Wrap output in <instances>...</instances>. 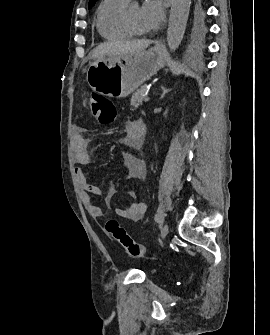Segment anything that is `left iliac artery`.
<instances>
[{
  "instance_id": "44dca946",
  "label": "left iliac artery",
  "mask_w": 270,
  "mask_h": 335,
  "mask_svg": "<svg viewBox=\"0 0 270 335\" xmlns=\"http://www.w3.org/2000/svg\"><path fill=\"white\" fill-rule=\"evenodd\" d=\"M155 221L158 223H162L164 221V216L162 214H158L155 216Z\"/></svg>"
}]
</instances>
